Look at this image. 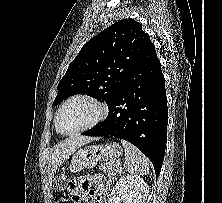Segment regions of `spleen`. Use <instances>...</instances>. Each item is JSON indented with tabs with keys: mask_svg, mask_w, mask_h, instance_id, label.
Listing matches in <instances>:
<instances>
[{
	"mask_svg": "<svg viewBox=\"0 0 222 203\" xmlns=\"http://www.w3.org/2000/svg\"><path fill=\"white\" fill-rule=\"evenodd\" d=\"M125 149L126 171L130 174L146 175L149 173V160L133 144L126 140H121Z\"/></svg>",
	"mask_w": 222,
	"mask_h": 203,
	"instance_id": "obj_1",
	"label": "spleen"
}]
</instances>
